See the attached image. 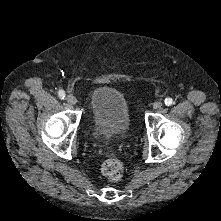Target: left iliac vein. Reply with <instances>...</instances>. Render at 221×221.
Listing matches in <instances>:
<instances>
[{"label": "left iliac vein", "mask_w": 221, "mask_h": 221, "mask_svg": "<svg viewBox=\"0 0 221 221\" xmlns=\"http://www.w3.org/2000/svg\"><path fill=\"white\" fill-rule=\"evenodd\" d=\"M163 106V103L161 101H157L153 104V108L155 110L160 109Z\"/></svg>", "instance_id": "obj_1"}]
</instances>
